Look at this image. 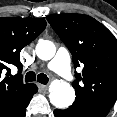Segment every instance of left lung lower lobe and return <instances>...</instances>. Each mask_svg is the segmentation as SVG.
Instances as JSON below:
<instances>
[{"mask_svg": "<svg viewBox=\"0 0 117 117\" xmlns=\"http://www.w3.org/2000/svg\"><path fill=\"white\" fill-rule=\"evenodd\" d=\"M110 109L74 102L65 110H54L55 117H106Z\"/></svg>", "mask_w": 117, "mask_h": 117, "instance_id": "obj_1", "label": "left lung lower lobe"}]
</instances>
